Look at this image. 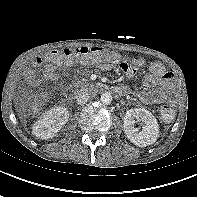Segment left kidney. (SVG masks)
<instances>
[{"mask_svg":"<svg viewBox=\"0 0 197 197\" xmlns=\"http://www.w3.org/2000/svg\"><path fill=\"white\" fill-rule=\"evenodd\" d=\"M134 119L143 122L141 131L134 127ZM123 127L127 138L139 147H146L155 143L159 136V124L157 119L145 108L128 110L124 117Z\"/></svg>","mask_w":197,"mask_h":197,"instance_id":"1","label":"left kidney"}]
</instances>
